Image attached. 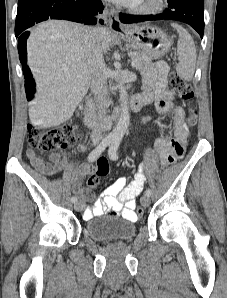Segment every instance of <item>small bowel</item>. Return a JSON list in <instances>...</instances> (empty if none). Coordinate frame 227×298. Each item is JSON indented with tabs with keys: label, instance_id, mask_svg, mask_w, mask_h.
I'll use <instances>...</instances> for the list:
<instances>
[{
	"label": "small bowel",
	"instance_id": "c3829d8e",
	"mask_svg": "<svg viewBox=\"0 0 227 298\" xmlns=\"http://www.w3.org/2000/svg\"><path fill=\"white\" fill-rule=\"evenodd\" d=\"M167 74L168 66L166 63L158 62L155 70L145 81L144 92L140 94L145 101V106L153 104L160 115L171 113L174 118L173 137L162 135L155 141V149L160 155L162 163L179 162L189 137L185 111L176 102L174 94L166 89ZM78 149L84 152L86 146L79 145ZM26 155L32 166L46 175H53L62 170L69 171L73 177L74 191L82 203L91 198V192L82 187L83 178L93 171L91 165L83 164L77 169L70 168L60 153L52 154L50 162H45L32 148L27 149ZM145 179L142 166L132 181H128L126 177L118 178L99 195L91 208L84 211V219L88 220L101 215H120L128 220H136L135 200L143 190Z\"/></svg>",
	"mask_w": 227,
	"mask_h": 298
}]
</instances>
